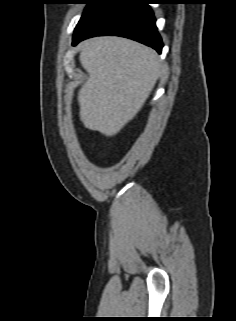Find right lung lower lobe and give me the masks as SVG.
Here are the masks:
<instances>
[{
	"instance_id": "1",
	"label": "right lung lower lobe",
	"mask_w": 236,
	"mask_h": 321,
	"mask_svg": "<svg viewBox=\"0 0 236 321\" xmlns=\"http://www.w3.org/2000/svg\"><path fill=\"white\" fill-rule=\"evenodd\" d=\"M149 0H109L74 35L73 45L102 35L130 38L161 53L163 43Z\"/></svg>"
}]
</instances>
